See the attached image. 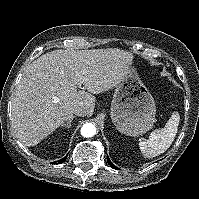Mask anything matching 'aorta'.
I'll return each mask as SVG.
<instances>
[{
  "label": "aorta",
  "instance_id": "aorta-1",
  "mask_svg": "<svg viewBox=\"0 0 199 199\" xmlns=\"http://www.w3.org/2000/svg\"><path fill=\"white\" fill-rule=\"evenodd\" d=\"M96 134V127L92 123H85L81 127V135L83 137H92Z\"/></svg>",
  "mask_w": 199,
  "mask_h": 199
}]
</instances>
